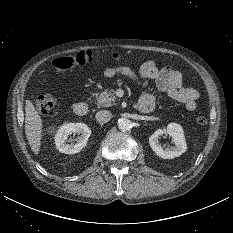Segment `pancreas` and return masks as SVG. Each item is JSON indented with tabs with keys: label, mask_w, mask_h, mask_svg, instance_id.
<instances>
[{
	"label": "pancreas",
	"mask_w": 233,
	"mask_h": 233,
	"mask_svg": "<svg viewBox=\"0 0 233 233\" xmlns=\"http://www.w3.org/2000/svg\"><path fill=\"white\" fill-rule=\"evenodd\" d=\"M115 91L114 90H105L99 94L97 97V104L99 107H109L115 102Z\"/></svg>",
	"instance_id": "1"
}]
</instances>
